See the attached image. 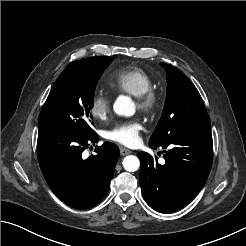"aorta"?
Returning a JSON list of instances; mask_svg holds the SVG:
<instances>
[{"label": "aorta", "mask_w": 246, "mask_h": 246, "mask_svg": "<svg viewBox=\"0 0 246 246\" xmlns=\"http://www.w3.org/2000/svg\"><path fill=\"white\" fill-rule=\"evenodd\" d=\"M114 112L119 116L130 117L135 114V104L128 96H119L113 105ZM123 168L128 172H135L140 167L138 157L134 155L126 156L123 159Z\"/></svg>", "instance_id": "1"}]
</instances>
